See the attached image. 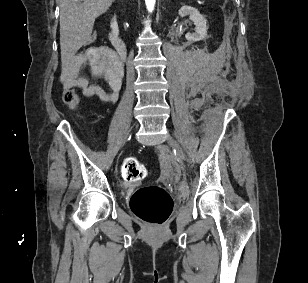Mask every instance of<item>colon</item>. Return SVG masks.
<instances>
[{
	"label": "colon",
	"instance_id": "5ec220e1",
	"mask_svg": "<svg viewBox=\"0 0 308 283\" xmlns=\"http://www.w3.org/2000/svg\"><path fill=\"white\" fill-rule=\"evenodd\" d=\"M96 37V33L91 34L87 44L94 43ZM62 98L64 103L71 108L78 106L80 102V97L74 89L64 90ZM121 174L126 181L133 182L144 179L147 170L137 158L127 157L122 163ZM130 207L141 220L161 225L169 218L173 209V201L170 194L162 187L142 186L132 194Z\"/></svg>",
	"mask_w": 308,
	"mask_h": 283
}]
</instances>
